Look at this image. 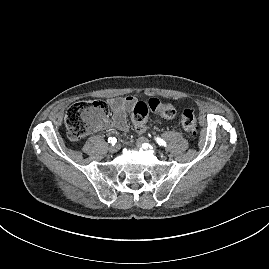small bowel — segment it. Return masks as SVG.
<instances>
[{"instance_id":"1","label":"small bowel","mask_w":269,"mask_h":269,"mask_svg":"<svg viewBox=\"0 0 269 269\" xmlns=\"http://www.w3.org/2000/svg\"><path fill=\"white\" fill-rule=\"evenodd\" d=\"M137 100L134 96L115 97L108 99V105L112 111V118L106 119L100 128H117L122 132L128 130L127 112L131 111Z\"/></svg>"}]
</instances>
